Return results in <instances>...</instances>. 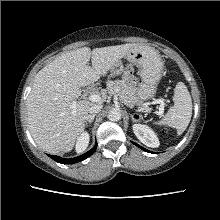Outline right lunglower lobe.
I'll use <instances>...</instances> for the list:
<instances>
[{
	"label": "right lung lower lobe",
	"mask_w": 220,
	"mask_h": 220,
	"mask_svg": "<svg viewBox=\"0 0 220 220\" xmlns=\"http://www.w3.org/2000/svg\"><path fill=\"white\" fill-rule=\"evenodd\" d=\"M96 147H97V143L90 151L86 152L85 154L78 156V157H75V158H70V159H63V158H61L59 156H55V155H48V156L50 158H52L53 160H55L56 162L61 163V164H73V163L83 161L86 158H88L89 156H91L94 153V151L96 150Z\"/></svg>",
	"instance_id": "1"
}]
</instances>
